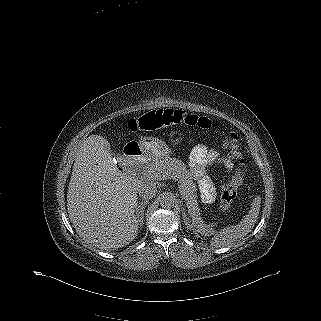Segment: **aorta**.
I'll return each mask as SVG.
<instances>
[{"label":"aorta","instance_id":"aorta-1","mask_svg":"<svg viewBox=\"0 0 321 321\" xmlns=\"http://www.w3.org/2000/svg\"><path fill=\"white\" fill-rule=\"evenodd\" d=\"M159 202L163 208H172L176 204V197L171 192H164L160 195Z\"/></svg>","mask_w":321,"mask_h":321}]
</instances>
